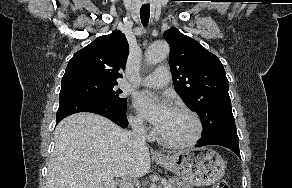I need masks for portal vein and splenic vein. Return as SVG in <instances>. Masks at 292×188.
<instances>
[{"instance_id":"obj_1","label":"portal vein and splenic vein","mask_w":292,"mask_h":188,"mask_svg":"<svg viewBox=\"0 0 292 188\" xmlns=\"http://www.w3.org/2000/svg\"><path fill=\"white\" fill-rule=\"evenodd\" d=\"M164 188H171V184H166Z\"/></svg>"}]
</instances>
